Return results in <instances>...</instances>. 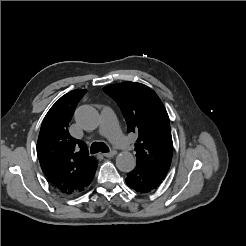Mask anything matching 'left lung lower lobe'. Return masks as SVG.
<instances>
[{
  "label": "left lung lower lobe",
  "mask_w": 246,
  "mask_h": 246,
  "mask_svg": "<svg viewBox=\"0 0 246 246\" xmlns=\"http://www.w3.org/2000/svg\"><path fill=\"white\" fill-rule=\"evenodd\" d=\"M164 178L158 176L144 166L136 165V167L127 174L125 179L127 185L139 193H149L156 189Z\"/></svg>",
  "instance_id": "left-lung-lower-lobe-1"
}]
</instances>
